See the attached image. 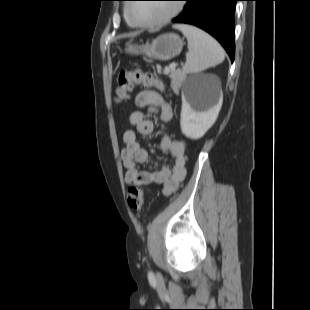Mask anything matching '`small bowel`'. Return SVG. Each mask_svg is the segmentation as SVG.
<instances>
[{
    "label": "small bowel",
    "mask_w": 310,
    "mask_h": 310,
    "mask_svg": "<svg viewBox=\"0 0 310 310\" xmlns=\"http://www.w3.org/2000/svg\"><path fill=\"white\" fill-rule=\"evenodd\" d=\"M135 103L138 109L129 116V123L134 130H126L122 136L124 148L121 150V161L125 169L124 180L127 184L137 186L161 184L163 195L170 196L177 191L186 177V144L182 140H173L168 134L162 135L159 147L171 155L174 160L172 165H164L157 171H141L139 165L146 163L149 156L138 140V135L149 136L154 128L153 122L146 117V112L160 108V118L167 122L172 118V109L159 93L153 90L138 92Z\"/></svg>",
    "instance_id": "small-bowel-1"
}]
</instances>
